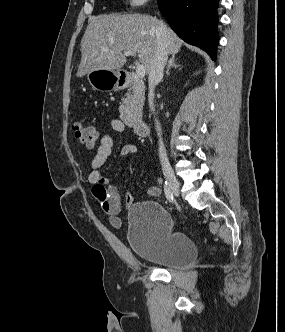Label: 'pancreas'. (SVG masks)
Here are the masks:
<instances>
[{
    "label": "pancreas",
    "instance_id": "pancreas-1",
    "mask_svg": "<svg viewBox=\"0 0 285 332\" xmlns=\"http://www.w3.org/2000/svg\"><path fill=\"white\" fill-rule=\"evenodd\" d=\"M145 86L138 78H132L126 97L123 98L119 107L121 116L125 120H141L142 109L145 99Z\"/></svg>",
    "mask_w": 285,
    "mask_h": 332
}]
</instances>
